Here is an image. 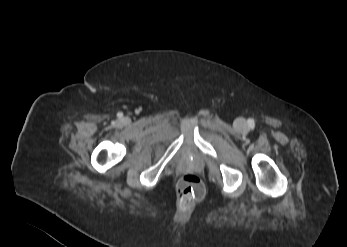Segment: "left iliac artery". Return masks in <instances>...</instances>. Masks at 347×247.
Masks as SVG:
<instances>
[{"label":"left iliac artery","mask_w":347,"mask_h":247,"mask_svg":"<svg viewBox=\"0 0 347 247\" xmlns=\"http://www.w3.org/2000/svg\"><path fill=\"white\" fill-rule=\"evenodd\" d=\"M253 124H254L253 121H251V122H250V125L253 126Z\"/></svg>","instance_id":"44dca946"}]
</instances>
